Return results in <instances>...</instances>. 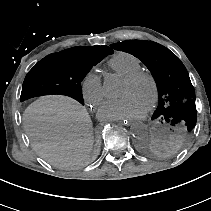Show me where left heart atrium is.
I'll return each instance as SVG.
<instances>
[{
	"mask_svg": "<svg viewBox=\"0 0 211 211\" xmlns=\"http://www.w3.org/2000/svg\"><path fill=\"white\" fill-rule=\"evenodd\" d=\"M145 113V107L132 95L105 101L98 110L102 120L139 118Z\"/></svg>",
	"mask_w": 211,
	"mask_h": 211,
	"instance_id": "1",
	"label": "left heart atrium"
}]
</instances>
